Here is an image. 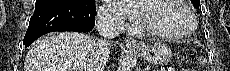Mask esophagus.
I'll use <instances>...</instances> for the list:
<instances>
[{
  "label": "esophagus",
  "instance_id": "obj_1",
  "mask_svg": "<svg viewBox=\"0 0 230 71\" xmlns=\"http://www.w3.org/2000/svg\"><path fill=\"white\" fill-rule=\"evenodd\" d=\"M125 45L129 48H138L140 47V44L135 40V39H132V38H127L125 40Z\"/></svg>",
  "mask_w": 230,
  "mask_h": 71
}]
</instances>
